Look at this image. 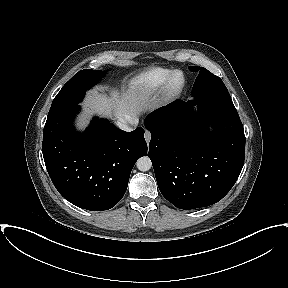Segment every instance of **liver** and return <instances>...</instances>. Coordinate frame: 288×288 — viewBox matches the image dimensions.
<instances>
[{
    "instance_id": "1",
    "label": "liver",
    "mask_w": 288,
    "mask_h": 288,
    "mask_svg": "<svg viewBox=\"0 0 288 288\" xmlns=\"http://www.w3.org/2000/svg\"><path fill=\"white\" fill-rule=\"evenodd\" d=\"M155 97H149V92H138L133 88L121 94L113 92L109 96L90 91L82 103L84 112L79 117L78 127L83 129L87 126L92 114L113 117L125 120L129 124L138 121V115L145 109H153L157 106Z\"/></svg>"
}]
</instances>
